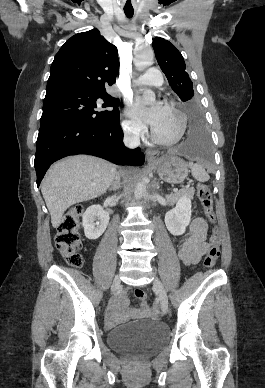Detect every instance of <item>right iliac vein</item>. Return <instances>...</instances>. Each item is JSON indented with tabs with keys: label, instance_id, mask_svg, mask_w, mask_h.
<instances>
[{
	"label": "right iliac vein",
	"instance_id": "right-iliac-vein-1",
	"mask_svg": "<svg viewBox=\"0 0 265 388\" xmlns=\"http://www.w3.org/2000/svg\"><path fill=\"white\" fill-rule=\"evenodd\" d=\"M120 286V277L116 275L113 279L111 290L115 291Z\"/></svg>",
	"mask_w": 265,
	"mask_h": 388
}]
</instances>
